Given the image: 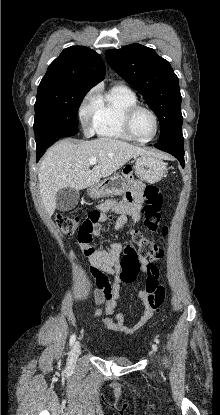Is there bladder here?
Instances as JSON below:
<instances>
[{
	"instance_id": "1",
	"label": "bladder",
	"mask_w": 220,
	"mask_h": 415,
	"mask_svg": "<svg viewBox=\"0 0 220 415\" xmlns=\"http://www.w3.org/2000/svg\"><path fill=\"white\" fill-rule=\"evenodd\" d=\"M107 359L119 366H129L132 363L129 358L124 356H109Z\"/></svg>"
}]
</instances>
